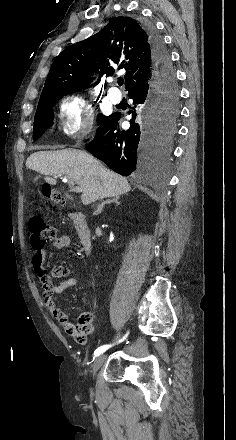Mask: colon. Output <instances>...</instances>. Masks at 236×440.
I'll return each mask as SVG.
<instances>
[{
	"label": "colon",
	"mask_w": 236,
	"mask_h": 440,
	"mask_svg": "<svg viewBox=\"0 0 236 440\" xmlns=\"http://www.w3.org/2000/svg\"><path fill=\"white\" fill-rule=\"evenodd\" d=\"M42 193L47 198H58V194L53 192L49 186H43ZM30 244L34 249H41L44 245L55 238V228L48 224L44 218L38 214H33L28 224Z\"/></svg>",
	"instance_id": "5ec220e1"
}]
</instances>
